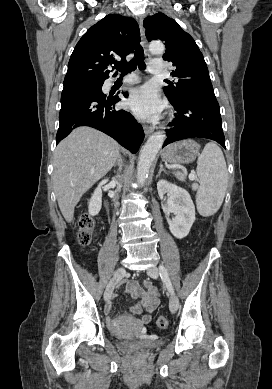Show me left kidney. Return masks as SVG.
Returning <instances> with one entry per match:
<instances>
[{
	"label": "left kidney",
	"mask_w": 272,
	"mask_h": 389,
	"mask_svg": "<svg viewBox=\"0 0 272 389\" xmlns=\"http://www.w3.org/2000/svg\"><path fill=\"white\" fill-rule=\"evenodd\" d=\"M157 190L161 199L164 198L166 192L168 193L163 211L167 216L170 232L178 239L186 237L195 221V206L190 194L166 180L158 181ZM170 213L175 215L172 219L168 218Z\"/></svg>",
	"instance_id": "5707ae66"
}]
</instances>
